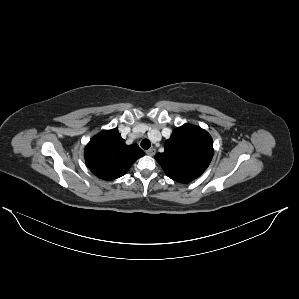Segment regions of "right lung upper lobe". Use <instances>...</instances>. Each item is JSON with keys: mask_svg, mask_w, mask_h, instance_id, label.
Masks as SVG:
<instances>
[{"mask_svg": "<svg viewBox=\"0 0 299 299\" xmlns=\"http://www.w3.org/2000/svg\"><path fill=\"white\" fill-rule=\"evenodd\" d=\"M144 152L137 144L126 145L117 129L104 130L85 147L84 157L99 178L113 180L123 176Z\"/></svg>", "mask_w": 299, "mask_h": 299, "instance_id": "obj_1", "label": "right lung upper lobe"}]
</instances>
